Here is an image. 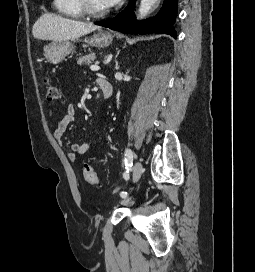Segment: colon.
<instances>
[{
    "label": "colon",
    "instance_id": "colon-1",
    "mask_svg": "<svg viewBox=\"0 0 255 272\" xmlns=\"http://www.w3.org/2000/svg\"><path fill=\"white\" fill-rule=\"evenodd\" d=\"M43 83L46 91V98L48 100H56L59 97V89L48 77L43 78ZM85 180L94 186L99 185V178L90 164H85L83 169Z\"/></svg>",
    "mask_w": 255,
    "mask_h": 272
}]
</instances>
